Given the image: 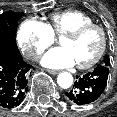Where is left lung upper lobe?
<instances>
[{
    "instance_id": "left-lung-upper-lobe-1",
    "label": "left lung upper lobe",
    "mask_w": 117,
    "mask_h": 117,
    "mask_svg": "<svg viewBox=\"0 0 117 117\" xmlns=\"http://www.w3.org/2000/svg\"><path fill=\"white\" fill-rule=\"evenodd\" d=\"M102 65L107 66V67H110V59H109V56H106L104 58V61H103Z\"/></svg>"
}]
</instances>
